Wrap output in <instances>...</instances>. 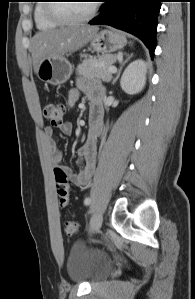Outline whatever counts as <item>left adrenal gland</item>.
Here are the masks:
<instances>
[{
    "label": "left adrenal gland",
    "instance_id": "1",
    "mask_svg": "<svg viewBox=\"0 0 195 299\" xmlns=\"http://www.w3.org/2000/svg\"><path fill=\"white\" fill-rule=\"evenodd\" d=\"M133 56V54H131L129 57H127V59L125 61H123L118 69L117 75L116 77L113 79L112 84H115V82L117 81V79L120 76V73L122 71L123 66L125 65V63H127V61Z\"/></svg>",
    "mask_w": 195,
    "mask_h": 299
}]
</instances>
